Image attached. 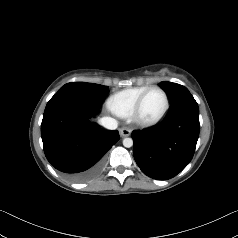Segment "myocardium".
<instances>
[{"mask_svg":"<svg viewBox=\"0 0 238 238\" xmlns=\"http://www.w3.org/2000/svg\"><path fill=\"white\" fill-rule=\"evenodd\" d=\"M153 90H159L163 93V95L165 97V107H164L162 113L157 118L152 119V120H144L140 117V111H141V108H142L145 98ZM169 107H170V99H169V96H168V93L166 92V90L160 86H150L146 91H144L140 95V97L136 101V103L132 109V112L130 114V117H131L132 121L139 126L151 127V126H154V125L160 123L165 118V116L167 115V113L169 111Z\"/></svg>","mask_w":238,"mask_h":238,"instance_id":"myocardium-1","label":"myocardium"}]
</instances>
